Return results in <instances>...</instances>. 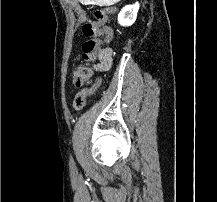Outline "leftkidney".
Instances as JSON below:
<instances>
[{"instance_id": "obj_1", "label": "left kidney", "mask_w": 217, "mask_h": 202, "mask_svg": "<svg viewBox=\"0 0 217 202\" xmlns=\"http://www.w3.org/2000/svg\"><path fill=\"white\" fill-rule=\"evenodd\" d=\"M138 10V2L133 4V6H125V8H122L120 14H118V24L120 26H132L137 18Z\"/></svg>"}]
</instances>
